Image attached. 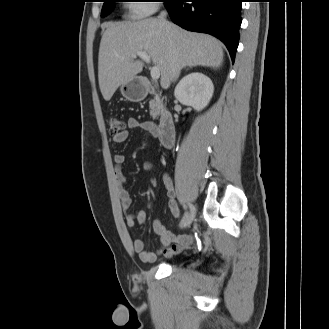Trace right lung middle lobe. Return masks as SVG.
I'll return each mask as SVG.
<instances>
[{
	"label": "right lung middle lobe",
	"instance_id": "right-lung-middle-lobe-1",
	"mask_svg": "<svg viewBox=\"0 0 329 329\" xmlns=\"http://www.w3.org/2000/svg\"><path fill=\"white\" fill-rule=\"evenodd\" d=\"M116 1L117 0H104V5L101 11V15L106 16L107 14H109L113 8V3Z\"/></svg>",
	"mask_w": 329,
	"mask_h": 329
}]
</instances>
